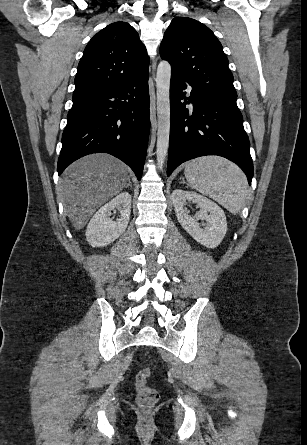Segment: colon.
Segmentation results:
<instances>
[{"label":"colon","mask_w":307,"mask_h":445,"mask_svg":"<svg viewBox=\"0 0 307 445\" xmlns=\"http://www.w3.org/2000/svg\"><path fill=\"white\" fill-rule=\"evenodd\" d=\"M150 376L151 370L149 368H144L137 373L135 378L137 402L144 408L154 406L159 399L158 391L148 384Z\"/></svg>","instance_id":"colon-1"}]
</instances>
